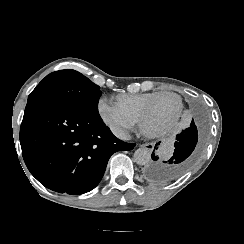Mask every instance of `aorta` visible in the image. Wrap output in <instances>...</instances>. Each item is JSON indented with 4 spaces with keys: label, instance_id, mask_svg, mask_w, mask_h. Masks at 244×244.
<instances>
[{
    "label": "aorta",
    "instance_id": "1",
    "mask_svg": "<svg viewBox=\"0 0 244 244\" xmlns=\"http://www.w3.org/2000/svg\"><path fill=\"white\" fill-rule=\"evenodd\" d=\"M133 157H134V161L138 165H146L149 163V161L151 159V153L148 149L139 148V149L135 150Z\"/></svg>",
    "mask_w": 244,
    "mask_h": 244
}]
</instances>
